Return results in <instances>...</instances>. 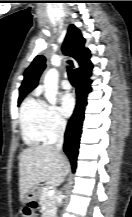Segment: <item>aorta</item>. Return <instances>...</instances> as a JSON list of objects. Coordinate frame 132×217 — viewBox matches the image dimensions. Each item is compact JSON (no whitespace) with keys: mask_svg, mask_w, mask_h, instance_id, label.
Wrapping results in <instances>:
<instances>
[{"mask_svg":"<svg viewBox=\"0 0 132 217\" xmlns=\"http://www.w3.org/2000/svg\"><path fill=\"white\" fill-rule=\"evenodd\" d=\"M59 73L55 68L49 69L44 77V96L50 104H55L58 93Z\"/></svg>","mask_w":132,"mask_h":217,"instance_id":"aorta-1","label":"aorta"}]
</instances>
